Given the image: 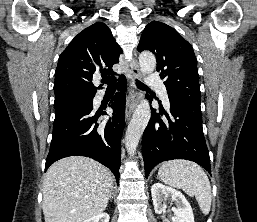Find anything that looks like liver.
Masks as SVG:
<instances>
[{
    "label": "liver",
    "mask_w": 257,
    "mask_h": 222,
    "mask_svg": "<svg viewBox=\"0 0 257 222\" xmlns=\"http://www.w3.org/2000/svg\"><path fill=\"white\" fill-rule=\"evenodd\" d=\"M114 179L99 162L71 156L52 164L43 181L45 222H83L102 213Z\"/></svg>",
    "instance_id": "1"
}]
</instances>
